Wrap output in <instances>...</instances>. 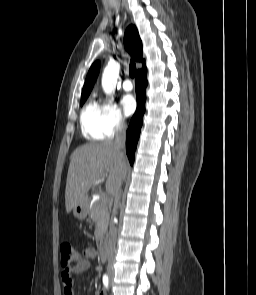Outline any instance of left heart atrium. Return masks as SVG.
I'll use <instances>...</instances> for the list:
<instances>
[{
  "instance_id": "1",
  "label": "left heart atrium",
  "mask_w": 256,
  "mask_h": 295,
  "mask_svg": "<svg viewBox=\"0 0 256 295\" xmlns=\"http://www.w3.org/2000/svg\"><path fill=\"white\" fill-rule=\"evenodd\" d=\"M121 106L126 115H131L136 109V101L132 95L127 94L122 97Z\"/></svg>"
}]
</instances>
